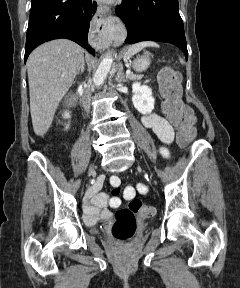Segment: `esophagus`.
I'll use <instances>...</instances> for the list:
<instances>
[{
  "label": "esophagus",
  "instance_id": "esophagus-1",
  "mask_svg": "<svg viewBox=\"0 0 240 288\" xmlns=\"http://www.w3.org/2000/svg\"><path fill=\"white\" fill-rule=\"evenodd\" d=\"M94 23L98 32L99 44L108 46L114 37L115 19L111 16L110 8L106 4L98 2Z\"/></svg>",
  "mask_w": 240,
  "mask_h": 288
}]
</instances>
